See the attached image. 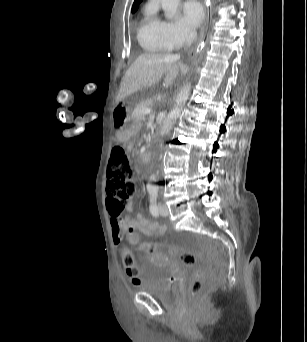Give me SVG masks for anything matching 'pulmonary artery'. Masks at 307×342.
Wrapping results in <instances>:
<instances>
[{
    "mask_svg": "<svg viewBox=\"0 0 307 342\" xmlns=\"http://www.w3.org/2000/svg\"><path fill=\"white\" fill-rule=\"evenodd\" d=\"M145 13H146V15H151L152 14V10L146 9Z\"/></svg>",
    "mask_w": 307,
    "mask_h": 342,
    "instance_id": "pulmonary-artery-1",
    "label": "pulmonary artery"
}]
</instances>
